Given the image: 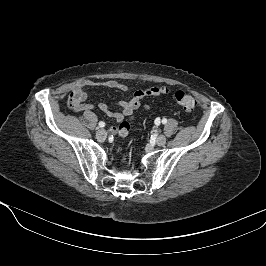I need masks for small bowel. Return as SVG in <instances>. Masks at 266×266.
Masks as SVG:
<instances>
[{
    "label": "small bowel",
    "mask_w": 266,
    "mask_h": 266,
    "mask_svg": "<svg viewBox=\"0 0 266 266\" xmlns=\"http://www.w3.org/2000/svg\"><path fill=\"white\" fill-rule=\"evenodd\" d=\"M103 86L110 89H116L120 91H128L129 87L116 80H108L105 82H95L90 79H85L77 82L72 87L71 95L73 97L72 108L75 112H88L93 109V105L87 102L88 95L86 93V88ZM169 89L165 86H155L146 89L138 90L134 93L131 99L126 101H121L119 106L121 108L120 112L112 111L109 106L105 103H100L98 105L99 109L106 115L114 118L118 122H122L124 117L131 116L140 106V100L146 96H160L167 95ZM112 133L118 132V127L113 126L111 128Z\"/></svg>",
    "instance_id": "c3829d8e"
}]
</instances>
